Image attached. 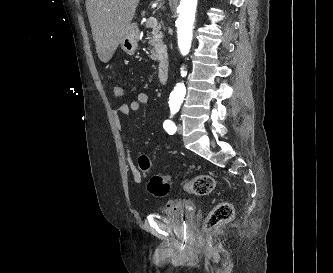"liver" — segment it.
<instances>
[{"label": "liver", "instance_id": "1", "mask_svg": "<svg viewBox=\"0 0 333 273\" xmlns=\"http://www.w3.org/2000/svg\"><path fill=\"white\" fill-rule=\"evenodd\" d=\"M140 0H86L99 59L107 63L129 32Z\"/></svg>", "mask_w": 333, "mask_h": 273}]
</instances>
